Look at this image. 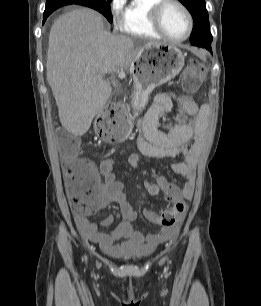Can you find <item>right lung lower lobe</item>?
<instances>
[{
    "instance_id": "obj_1",
    "label": "right lung lower lobe",
    "mask_w": 261,
    "mask_h": 306,
    "mask_svg": "<svg viewBox=\"0 0 261 306\" xmlns=\"http://www.w3.org/2000/svg\"><path fill=\"white\" fill-rule=\"evenodd\" d=\"M51 13H52V12H44L43 23L46 21L47 17H48Z\"/></svg>"
}]
</instances>
